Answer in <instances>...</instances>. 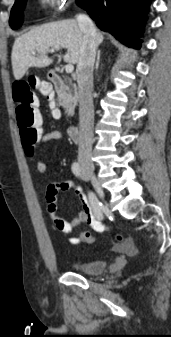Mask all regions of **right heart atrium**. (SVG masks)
Listing matches in <instances>:
<instances>
[{
    "instance_id": "d8ad5b80",
    "label": "right heart atrium",
    "mask_w": 171,
    "mask_h": 337,
    "mask_svg": "<svg viewBox=\"0 0 171 337\" xmlns=\"http://www.w3.org/2000/svg\"><path fill=\"white\" fill-rule=\"evenodd\" d=\"M71 0H43L46 6L55 9L60 10Z\"/></svg>"
}]
</instances>
